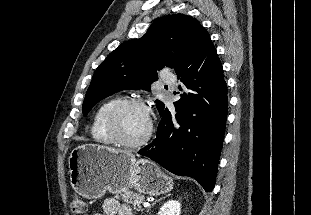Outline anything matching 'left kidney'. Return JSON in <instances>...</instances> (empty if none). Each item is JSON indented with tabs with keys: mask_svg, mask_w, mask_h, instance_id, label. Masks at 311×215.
Segmentation results:
<instances>
[{
	"mask_svg": "<svg viewBox=\"0 0 311 215\" xmlns=\"http://www.w3.org/2000/svg\"><path fill=\"white\" fill-rule=\"evenodd\" d=\"M181 204L178 201L170 200L160 208L159 215H180Z\"/></svg>",
	"mask_w": 311,
	"mask_h": 215,
	"instance_id": "1",
	"label": "left kidney"
}]
</instances>
